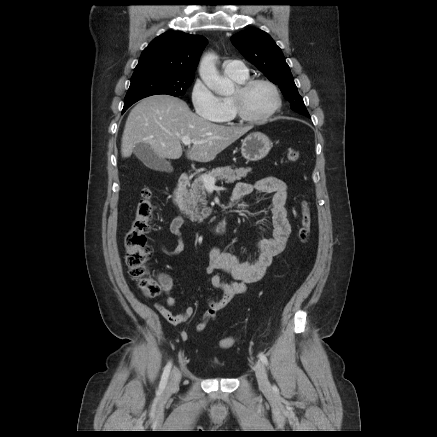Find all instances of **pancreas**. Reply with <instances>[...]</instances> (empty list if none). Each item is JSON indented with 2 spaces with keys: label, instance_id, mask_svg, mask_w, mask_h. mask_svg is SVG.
I'll use <instances>...</instances> for the list:
<instances>
[{
  "label": "pancreas",
  "instance_id": "cf45deb5",
  "mask_svg": "<svg viewBox=\"0 0 437 437\" xmlns=\"http://www.w3.org/2000/svg\"><path fill=\"white\" fill-rule=\"evenodd\" d=\"M250 168H235L230 166L218 167L195 178L189 192L185 196L186 210L185 213L193 222H202L211 214V208L207 207L206 188L203 185V176H211L215 180H225L226 183H233L241 180L250 172Z\"/></svg>",
  "mask_w": 437,
  "mask_h": 437
}]
</instances>
